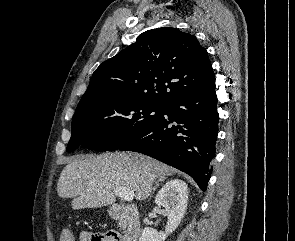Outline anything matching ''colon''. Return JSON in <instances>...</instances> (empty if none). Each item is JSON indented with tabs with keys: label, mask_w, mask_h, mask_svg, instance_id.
Masks as SVG:
<instances>
[{
	"label": "colon",
	"mask_w": 295,
	"mask_h": 241,
	"mask_svg": "<svg viewBox=\"0 0 295 241\" xmlns=\"http://www.w3.org/2000/svg\"><path fill=\"white\" fill-rule=\"evenodd\" d=\"M60 241H74V237L70 231L64 230L60 235Z\"/></svg>",
	"instance_id": "1"
}]
</instances>
